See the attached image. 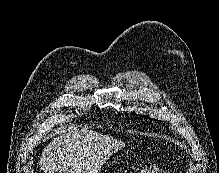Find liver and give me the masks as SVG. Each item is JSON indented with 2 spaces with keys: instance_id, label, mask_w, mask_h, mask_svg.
<instances>
[{
  "instance_id": "1",
  "label": "liver",
  "mask_w": 219,
  "mask_h": 173,
  "mask_svg": "<svg viewBox=\"0 0 219 173\" xmlns=\"http://www.w3.org/2000/svg\"><path fill=\"white\" fill-rule=\"evenodd\" d=\"M123 147L111 136L68 127L44 148L39 165L44 173H97Z\"/></svg>"
}]
</instances>
